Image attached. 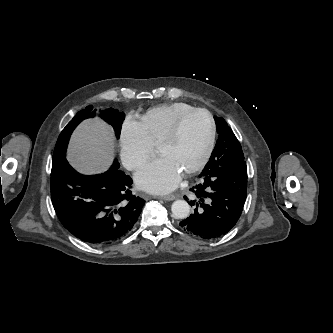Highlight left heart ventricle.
<instances>
[{
  "label": "left heart ventricle",
  "mask_w": 333,
  "mask_h": 333,
  "mask_svg": "<svg viewBox=\"0 0 333 333\" xmlns=\"http://www.w3.org/2000/svg\"><path fill=\"white\" fill-rule=\"evenodd\" d=\"M210 132L208 117L196 113L183 123L177 139L159 149L162 157H167L184 173L201 158L206 148Z\"/></svg>",
  "instance_id": "obj_1"
}]
</instances>
